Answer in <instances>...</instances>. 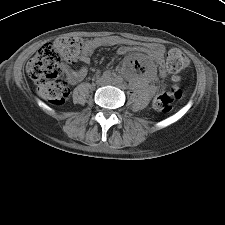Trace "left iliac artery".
Returning <instances> with one entry per match:
<instances>
[{
    "mask_svg": "<svg viewBox=\"0 0 225 225\" xmlns=\"http://www.w3.org/2000/svg\"><path fill=\"white\" fill-rule=\"evenodd\" d=\"M116 80L118 81V83H122V82H123V78L120 77V76H117V77H116Z\"/></svg>",
    "mask_w": 225,
    "mask_h": 225,
    "instance_id": "obj_1",
    "label": "left iliac artery"
}]
</instances>
